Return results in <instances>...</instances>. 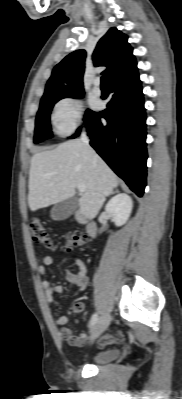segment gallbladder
Segmentation results:
<instances>
[{
	"instance_id": "obj_1",
	"label": "gallbladder",
	"mask_w": 182,
	"mask_h": 399,
	"mask_svg": "<svg viewBox=\"0 0 182 399\" xmlns=\"http://www.w3.org/2000/svg\"><path fill=\"white\" fill-rule=\"evenodd\" d=\"M79 205V197L73 196L63 200L53 206L51 209V218L53 220H65L70 217Z\"/></svg>"
}]
</instances>
